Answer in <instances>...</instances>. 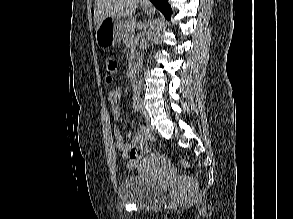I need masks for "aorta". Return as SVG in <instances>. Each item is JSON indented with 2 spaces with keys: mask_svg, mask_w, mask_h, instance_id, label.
Instances as JSON below:
<instances>
[{
  "mask_svg": "<svg viewBox=\"0 0 293 219\" xmlns=\"http://www.w3.org/2000/svg\"><path fill=\"white\" fill-rule=\"evenodd\" d=\"M153 37V32L149 31L148 36H147V41H150ZM133 88L136 92H139L142 89L141 81L140 80H135L133 83Z\"/></svg>",
  "mask_w": 293,
  "mask_h": 219,
  "instance_id": "obj_1",
  "label": "aorta"
}]
</instances>
